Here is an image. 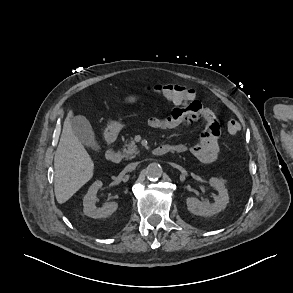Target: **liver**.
<instances>
[{"label":"liver","instance_id":"liver-1","mask_svg":"<svg viewBox=\"0 0 293 293\" xmlns=\"http://www.w3.org/2000/svg\"><path fill=\"white\" fill-rule=\"evenodd\" d=\"M72 114L70 111L64 121L54 157V191L60 204L68 201L94 174V163L72 130Z\"/></svg>","mask_w":293,"mask_h":293}]
</instances>
